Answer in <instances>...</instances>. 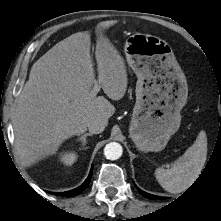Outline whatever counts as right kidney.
Wrapping results in <instances>:
<instances>
[{"label":"right kidney","instance_id":"1","mask_svg":"<svg viewBox=\"0 0 221 221\" xmlns=\"http://www.w3.org/2000/svg\"><path fill=\"white\" fill-rule=\"evenodd\" d=\"M77 157L78 156H77V154L75 152L66 151V152L60 153L59 160L64 165L71 166L72 164H74L76 162Z\"/></svg>","mask_w":221,"mask_h":221}]
</instances>
